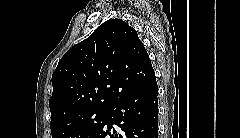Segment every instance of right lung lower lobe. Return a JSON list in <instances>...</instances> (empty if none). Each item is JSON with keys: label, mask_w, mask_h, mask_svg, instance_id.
Returning a JSON list of instances; mask_svg holds the SVG:
<instances>
[{"label": "right lung lower lobe", "mask_w": 240, "mask_h": 138, "mask_svg": "<svg viewBox=\"0 0 240 138\" xmlns=\"http://www.w3.org/2000/svg\"><path fill=\"white\" fill-rule=\"evenodd\" d=\"M158 86L155 75L115 100L92 138H157Z\"/></svg>", "instance_id": "obj_1"}]
</instances>
